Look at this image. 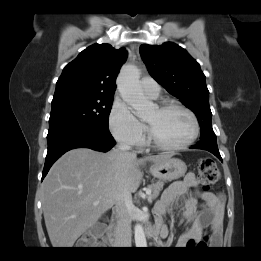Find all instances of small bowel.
I'll use <instances>...</instances> for the list:
<instances>
[{"label":"small bowel","instance_id":"1","mask_svg":"<svg viewBox=\"0 0 261 261\" xmlns=\"http://www.w3.org/2000/svg\"><path fill=\"white\" fill-rule=\"evenodd\" d=\"M201 200L203 206L197 209L196 202ZM179 205L183 208V220L188 230L181 236L178 246L188 247L194 240L202 237L203 230L210 228L211 243L221 241L224 197L201 190L194 174H187L182 181L174 182L163 193L156 206V227L164 228V215L170 207Z\"/></svg>","mask_w":261,"mask_h":261}]
</instances>
